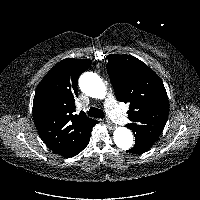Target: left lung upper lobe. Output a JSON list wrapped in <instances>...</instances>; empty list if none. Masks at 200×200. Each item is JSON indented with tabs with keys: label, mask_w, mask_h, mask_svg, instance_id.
<instances>
[{
	"label": "left lung upper lobe",
	"mask_w": 200,
	"mask_h": 200,
	"mask_svg": "<svg viewBox=\"0 0 200 200\" xmlns=\"http://www.w3.org/2000/svg\"><path fill=\"white\" fill-rule=\"evenodd\" d=\"M107 71L118 101L128 103L127 112L136 143L152 145L162 133L169 102L159 76L131 55L107 56Z\"/></svg>",
	"instance_id": "5c2ea615"
}]
</instances>
